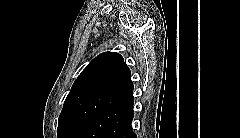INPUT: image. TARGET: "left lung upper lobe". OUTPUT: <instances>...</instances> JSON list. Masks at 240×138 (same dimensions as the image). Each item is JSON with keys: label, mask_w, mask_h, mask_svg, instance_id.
<instances>
[{"label": "left lung upper lobe", "mask_w": 240, "mask_h": 138, "mask_svg": "<svg viewBox=\"0 0 240 138\" xmlns=\"http://www.w3.org/2000/svg\"><path fill=\"white\" fill-rule=\"evenodd\" d=\"M129 72L118 53L105 52L94 58L78 76L64 102L57 138H81Z\"/></svg>", "instance_id": "obj_1"}]
</instances>
